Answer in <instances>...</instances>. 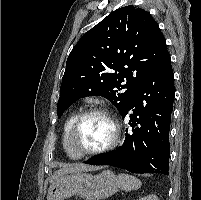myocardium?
I'll use <instances>...</instances> for the list:
<instances>
[{
    "mask_svg": "<svg viewBox=\"0 0 201 200\" xmlns=\"http://www.w3.org/2000/svg\"><path fill=\"white\" fill-rule=\"evenodd\" d=\"M93 115L102 116L110 122L112 127V136L110 140L108 141V143L102 146L101 148L85 151V152H79L74 145V135H75L76 129L82 120ZM119 139H120V126H119V122L117 118L108 109H105L102 107H92L81 112L74 119L67 133V147L71 156L74 159H81L84 157L96 156V155L104 154L106 152L111 151L118 145Z\"/></svg>",
    "mask_w": 201,
    "mask_h": 200,
    "instance_id": "1",
    "label": "myocardium"
}]
</instances>
